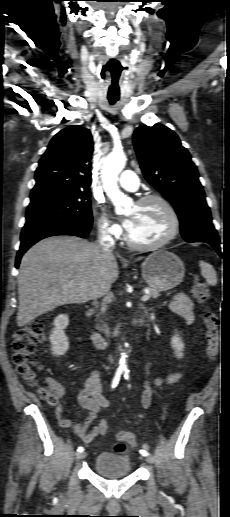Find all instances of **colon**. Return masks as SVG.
<instances>
[{"instance_id":"obj_1","label":"colon","mask_w":230,"mask_h":517,"mask_svg":"<svg viewBox=\"0 0 230 517\" xmlns=\"http://www.w3.org/2000/svg\"><path fill=\"white\" fill-rule=\"evenodd\" d=\"M192 294L200 304L206 305L210 293L204 282L194 279L191 285ZM203 322L205 326L206 356L209 361H213L219 350L220 341V319L212 307L206 305L203 312ZM45 338L44 323L41 320H34L26 327L17 330L12 344V361L20 375L31 385L37 386L38 363L35 351ZM41 397L50 405H56L63 394L61 386L54 380H48L45 385L39 387ZM137 444L135 434L127 431L117 439L115 451L122 453L126 449V444Z\"/></svg>"}]
</instances>
